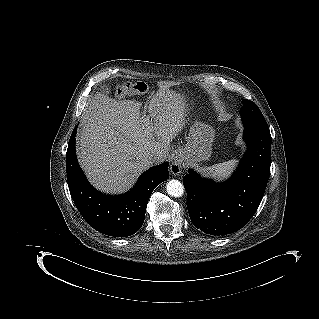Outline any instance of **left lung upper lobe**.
Instances as JSON below:
<instances>
[{"instance_id": "5c2ea615", "label": "left lung upper lobe", "mask_w": 319, "mask_h": 319, "mask_svg": "<svg viewBox=\"0 0 319 319\" xmlns=\"http://www.w3.org/2000/svg\"><path fill=\"white\" fill-rule=\"evenodd\" d=\"M240 114L245 128L269 131V127L258 106L247 99L243 100Z\"/></svg>"}]
</instances>
